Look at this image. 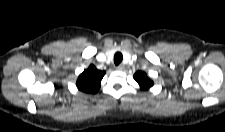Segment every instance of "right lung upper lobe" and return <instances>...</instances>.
<instances>
[{
	"label": "right lung upper lobe",
	"mask_w": 225,
	"mask_h": 132,
	"mask_svg": "<svg viewBox=\"0 0 225 132\" xmlns=\"http://www.w3.org/2000/svg\"><path fill=\"white\" fill-rule=\"evenodd\" d=\"M105 75V71L96 69L94 65H90L88 69L81 73L77 80V88L86 93L98 92L101 80Z\"/></svg>",
	"instance_id": "right-lung-upper-lobe-1"
}]
</instances>
